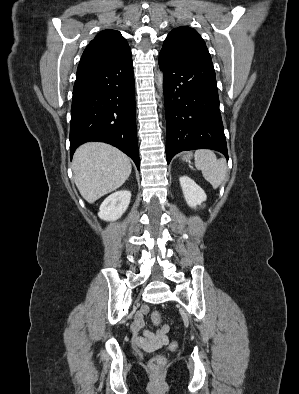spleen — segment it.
<instances>
[{"mask_svg":"<svg viewBox=\"0 0 299 394\" xmlns=\"http://www.w3.org/2000/svg\"><path fill=\"white\" fill-rule=\"evenodd\" d=\"M195 166L202 172L203 177L217 189L227 173L225 159H217L213 151L201 149L195 152Z\"/></svg>","mask_w":299,"mask_h":394,"instance_id":"3e777b00","label":"spleen"}]
</instances>
